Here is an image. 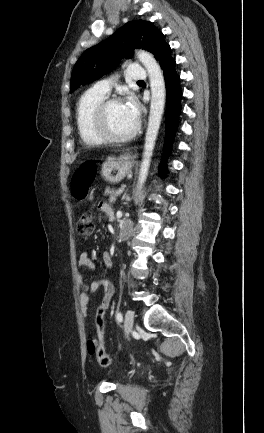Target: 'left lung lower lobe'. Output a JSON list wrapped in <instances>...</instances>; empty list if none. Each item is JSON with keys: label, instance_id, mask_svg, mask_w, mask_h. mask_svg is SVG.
<instances>
[{"label": "left lung lower lobe", "instance_id": "1", "mask_svg": "<svg viewBox=\"0 0 264 433\" xmlns=\"http://www.w3.org/2000/svg\"><path fill=\"white\" fill-rule=\"evenodd\" d=\"M160 65L163 70L166 94H167V112H166V131H165V143L164 153L162 161L159 166L160 176L164 177L166 174V161L167 156L171 152V145L174 139V135L177 129L178 116L181 110L180 100L182 92L179 85V76L175 71V60L171 57L170 53L164 55L160 59Z\"/></svg>", "mask_w": 264, "mask_h": 433}]
</instances>
